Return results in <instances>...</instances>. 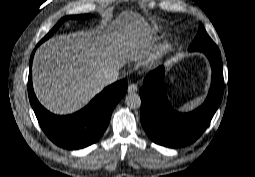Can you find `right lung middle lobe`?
<instances>
[{
	"label": "right lung middle lobe",
	"instance_id": "dd1d6c3e",
	"mask_svg": "<svg viewBox=\"0 0 255 177\" xmlns=\"http://www.w3.org/2000/svg\"><path fill=\"white\" fill-rule=\"evenodd\" d=\"M90 16L89 15H77V16H68V17H64L62 18L56 25L55 27L41 40V42L45 41L46 39H48L60 26L61 24L66 20V19H69V18H72V19H86V18H89ZM40 42V43H41Z\"/></svg>",
	"mask_w": 255,
	"mask_h": 177
}]
</instances>
